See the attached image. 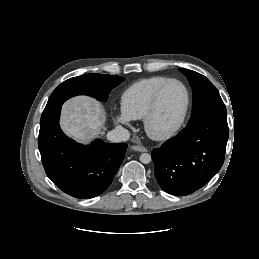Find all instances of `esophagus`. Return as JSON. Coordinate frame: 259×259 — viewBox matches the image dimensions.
Wrapping results in <instances>:
<instances>
[{
    "mask_svg": "<svg viewBox=\"0 0 259 259\" xmlns=\"http://www.w3.org/2000/svg\"><path fill=\"white\" fill-rule=\"evenodd\" d=\"M132 149L138 152H147V149L143 146L134 145L132 146Z\"/></svg>",
    "mask_w": 259,
    "mask_h": 259,
    "instance_id": "obj_1",
    "label": "esophagus"
}]
</instances>
